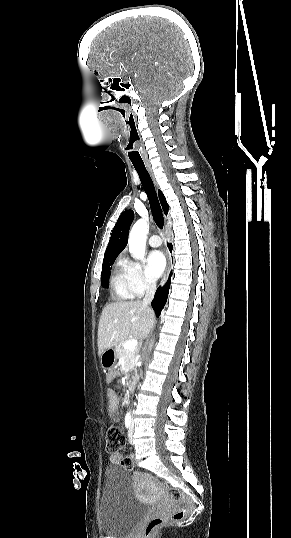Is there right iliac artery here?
Wrapping results in <instances>:
<instances>
[{
    "instance_id": "1",
    "label": "right iliac artery",
    "mask_w": 291,
    "mask_h": 538,
    "mask_svg": "<svg viewBox=\"0 0 291 538\" xmlns=\"http://www.w3.org/2000/svg\"><path fill=\"white\" fill-rule=\"evenodd\" d=\"M130 424H131V416H130L129 413H127L126 416H125V426H126V428H129Z\"/></svg>"
}]
</instances>
